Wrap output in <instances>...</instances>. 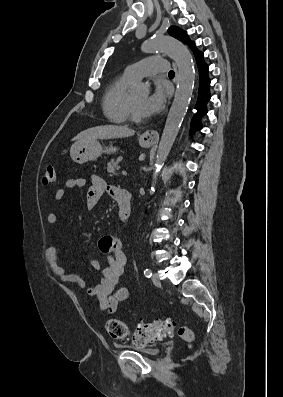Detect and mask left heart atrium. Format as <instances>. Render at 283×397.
I'll use <instances>...</instances> for the list:
<instances>
[{"mask_svg": "<svg viewBox=\"0 0 283 397\" xmlns=\"http://www.w3.org/2000/svg\"><path fill=\"white\" fill-rule=\"evenodd\" d=\"M165 104V92L157 88L155 89L141 105L143 116H153L159 113Z\"/></svg>", "mask_w": 283, "mask_h": 397, "instance_id": "39dd6f15", "label": "left heart atrium"}]
</instances>
